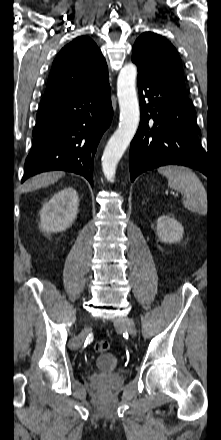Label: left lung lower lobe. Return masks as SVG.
Returning a JSON list of instances; mask_svg holds the SVG:
<instances>
[{"label":"left lung lower lobe","mask_w":221,"mask_h":440,"mask_svg":"<svg viewBox=\"0 0 221 440\" xmlns=\"http://www.w3.org/2000/svg\"><path fill=\"white\" fill-rule=\"evenodd\" d=\"M138 88L141 120L130 147L131 181L142 172L169 164L188 166L208 176L196 113L187 94L139 68Z\"/></svg>","instance_id":"obj_1"}]
</instances>
